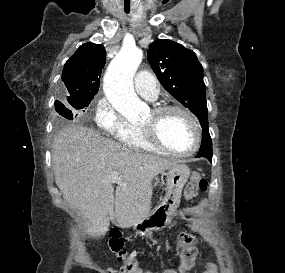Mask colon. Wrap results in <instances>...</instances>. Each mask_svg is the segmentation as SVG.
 <instances>
[{
    "instance_id": "colon-1",
    "label": "colon",
    "mask_w": 285,
    "mask_h": 273,
    "mask_svg": "<svg viewBox=\"0 0 285 273\" xmlns=\"http://www.w3.org/2000/svg\"><path fill=\"white\" fill-rule=\"evenodd\" d=\"M208 188L207 180L198 173L192 174L184 189V198L189 201L195 198L199 192H205ZM108 248L117 256L121 264L120 271L112 270L110 273H143L136 257L126 252L124 240L117 234H112L108 240ZM195 237L187 232L180 235L177 245V255L180 260V270L188 272L195 266L197 258Z\"/></svg>"
}]
</instances>
